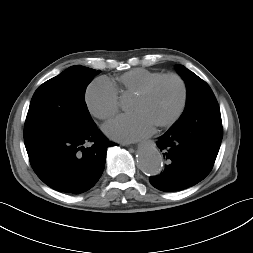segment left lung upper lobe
Masks as SVG:
<instances>
[{"mask_svg":"<svg viewBox=\"0 0 253 253\" xmlns=\"http://www.w3.org/2000/svg\"><path fill=\"white\" fill-rule=\"evenodd\" d=\"M177 68L186 82L187 101L185 111L173 125L203 120L221 122L218 102L208 84L184 66L178 65Z\"/></svg>","mask_w":253,"mask_h":253,"instance_id":"5c2ea615","label":"left lung upper lobe"}]
</instances>
